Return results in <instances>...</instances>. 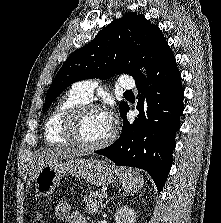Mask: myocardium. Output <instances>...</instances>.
Returning <instances> with one entry per match:
<instances>
[{
    "label": "myocardium",
    "mask_w": 221,
    "mask_h": 223,
    "mask_svg": "<svg viewBox=\"0 0 221 223\" xmlns=\"http://www.w3.org/2000/svg\"><path fill=\"white\" fill-rule=\"evenodd\" d=\"M92 110L101 111V108L96 104L87 102L76 105L66 113L62 126V135L65 137V139L83 151H96L107 147L114 141L116 136L115 129L111 127L110 134L104 140L98 143L88 144L77 138L76 131L81 117L88 111Z\"/></svg>",
    "instance_id": "obj_1"
}]
</instances>
